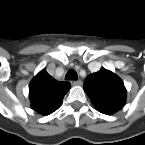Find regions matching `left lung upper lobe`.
<instances>
[{"label": "left lung upper lobe", "instance_id": "left-lung-upper-lobe-1", "mask_svg": "<svg viewBox=\"0 0 145 145\" xmlns=\"http://www.w3.org/2000/svg\"><path fill=\"white\" fill-rule=\"evenodd\" d=\"M84 91L94 106L104 114H113L126 103V89L122 80L104 68L85 79Z\"/></svg>", "mask_w": 145, "mask_h": 145}]
</instances>
